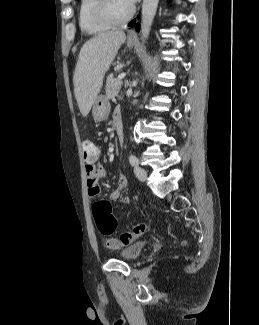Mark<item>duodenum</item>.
<instances>
[{
  "instance_id": "obj_1",
  "label": "duodenum",
  "mask_w": 259,
  "mask_h": 325,
  "mask_svg": "<svg viewBox=\"0 0 259 325\" xmlns=\"http://www.w3.org/2000/svg\"><path fill=\"white\" fill-rule=\"evenodd\" d=\"M114 126L117 134L119 143L121 144L124 140V126L121 114H116L114 117Z\"/></svg>"
}]
</instances>
